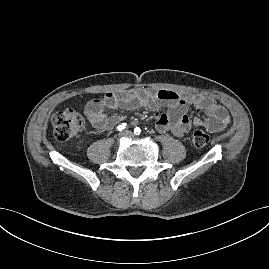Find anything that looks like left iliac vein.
<instances>
[{
	"mask_svg": "<svg viewBox=\"0 0 269 269\" xmlns=\"http://www.w3.org/2000/svg\"><path fill=\"white\" fill-rule=\"evenodd\" d=\"M124 136H126V137H134V133L131 132V131H126V132H124Z\"/></svg>",
	"mask_w": 269,
	"mask_h": 269,
	"instance_id": "1",
	"label": "left iliac vein"
}]
</instances>
